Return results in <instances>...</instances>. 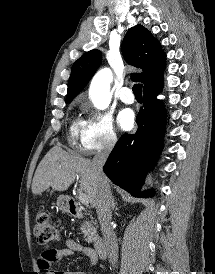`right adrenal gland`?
I'll list each match as a JSON object with an SVG mask.
<instances>
[{
    "instance_id": "obj_1",
    "label": "right adrenal gland",
    "mask_w": 215,
    "mask_h": 274,
    "mask_svg": "<svg viewBox=\"0 0 215 274\" xmlns=\"http://www.w3.org/2000/svg\"><path fill=\"white\" fill-rule=\"evenodd\" d=\"M111 206H112V209L115 210L116 203H115L114 197H112Z\"/></svg>"
}]
</instances>
